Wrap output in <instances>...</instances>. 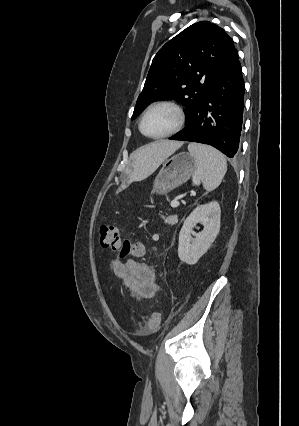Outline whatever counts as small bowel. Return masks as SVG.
Returning a JSON list of instances; mask_svg holds the SVG:
<instances>
[{
    "instance_id": "obj_1",
    "label": "small bowel",
    "mask_w": 299,
    "mask_h": 426,
    "mask_svg": "<svg viewBox=\"0 0 299 426\" xmlns=\"http://www.w3.org/2000/svg\"><path fill=\"white\" fill-rule=\"evenodd\" d=\"M111 268L117 278L137 299L153 297L159 290L156 273L151 265L139 262L133 258L122 261L115 258Z\"/></svg>"
}]
</instances>
